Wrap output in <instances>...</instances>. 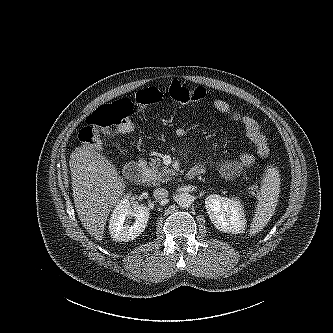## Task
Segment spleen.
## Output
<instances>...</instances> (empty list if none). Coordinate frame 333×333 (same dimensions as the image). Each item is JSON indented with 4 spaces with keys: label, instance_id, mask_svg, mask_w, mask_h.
<instances>
[{
    "label": "spleen",
    "instance_id": "obj_1",
    "mask_svg": "<svg viewBox=\"0 0 333 333\" xmlns=\"http://www.w3.org/2000/svg\"><path fill=\"white\" fill-rule=\"evenodd\" d=\"M280 193V174L276 167L269 166L264 172L256 212L250 226V235L260 232L274 214Z\"/></svg>",
    "mask_w": 333,
    "mask_h": 333
}]
</instances>
